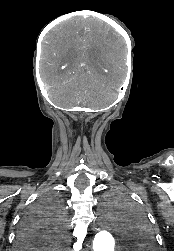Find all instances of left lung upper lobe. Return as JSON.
Listing matches in <instances>:
<instances>
[{
	"label": "left lung upper lobe",
	"mask_w": 174,
	"mask_h": 251,
	"mask_svg": "<svg viewBox=\"0 0 174 251\" xmlns=\"http://www.w3.org/2000/svg\"><path fill=\"white\" fill-rule=\"evenodd\" d=\"M114 200V199H113ZM122 208L113 207L114 211H123L125 218L132 227L129 245L134 251H156V240L144 215L135 210V208L123 200L117 201Z\"/></svg>",
	"instance_id": "5c2ea615"
}]
</instances>
